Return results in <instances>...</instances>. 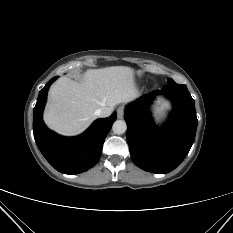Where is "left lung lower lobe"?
I'll use <instances>...</instances> for the list:
<instances>
[{
    "mask_svg": "<svg viewBox=\"0 0 233 233\" xmlns=\"http://www.w3.org/2000/svg\"><path fill=\"white\" fill-rule=\"evenodd\" d=\"M159 93L171 99L174 106L169 121L162 127L153 124L149 112L151 101ZM124 119L132 161L145 171L159 174L174 170L184 160L198 124L194 100L186 85L175 82L128 105Z\"/></svg>",
    "mask_w": 233,
    "mask_h": 233,
    "instance_id": "0a47b994",
    "label": "left lung lower lobe"
}]
</instances>
